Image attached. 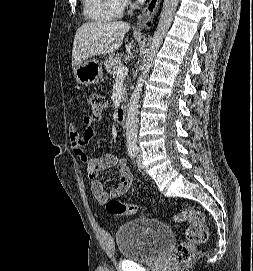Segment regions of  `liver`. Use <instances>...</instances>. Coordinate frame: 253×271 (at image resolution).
<instances>
[{
	"label": "liver",
	"instance_id": "liver-1",
	"mask_svg": "<svg viewBox=\"0 0 253 271\" xmlns=\"http://www.w3.org/2000/svg\"><path fill=\"white\" fill-rule=\"evenodd\" d=\"M129 29V23L123 21L105 20L83 24L77 29L73 42V71L88 58L118 50Z\"/></svg>",
	"mask_w": 253,
	"mask_h": 271
}]
</instances>
